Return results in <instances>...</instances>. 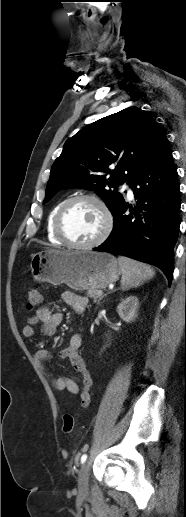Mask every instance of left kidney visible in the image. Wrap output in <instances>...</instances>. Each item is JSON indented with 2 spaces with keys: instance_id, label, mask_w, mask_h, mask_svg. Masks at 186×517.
I'll return each instance as SVG.
<instances>
[{
  "instance_id": "5707ae66",
  "label": "left kidney",
  "mask_w": 186,
  "mask_h": 517,
  "mask_svg": "<svg viewBox=\"0 0 186 517\" xmlns=\"http://www.w3.org/2000/svg\"><path fill=\"white\" fill-rule=\"evenodd\" d=\"M139 300L136 296H129L117 306V312L120 318L129 323L137 316Z\"/></svg>"
}]
</instances>
